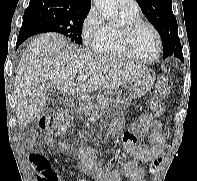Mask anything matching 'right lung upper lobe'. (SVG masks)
<instances>
[{
	"label": "right lung upper lobe",
	"mask_w": 197,
	"mask_h": 181,
	"mask_svg": "<svg viewBox=\"0 0 197 181\" xmlns=\"http://www.w3.org/2000/svg\"><path fill=\"white\" fill-rule=\"evenodd\" d=\"M91 0H30L27 10L59 9L67 11H89Z\"/></svg>",
	"instance_id": "obj_1"
}]
</instances>
